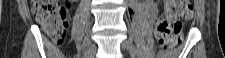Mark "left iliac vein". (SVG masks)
<instances>
[{
    "label": "left iliac vein",
    "instance_id": "4c4485c4",
    "mask_svg": "<svg viewBox=\"0 0 225 58\" xmlns=\"http://www.w3.org/2000/svg\"><path fill=\"white\" fill-rule=\"evenodd\" d=\"M121 46L122 48L130 51V52H133V45L132 43L129 41V40H124L122 43H121Z\"/></svg>",
    "mask_w": 225,
    "mask_h": 58
}]
</instances>
